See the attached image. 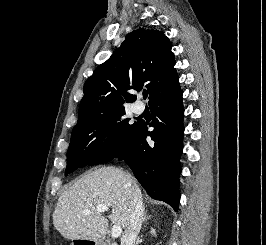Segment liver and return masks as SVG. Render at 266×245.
<instances>
[{
	"instance_id": "1",
	"label": "liver",
	"mask_w": 266,
	"mask_h": 245,
	"mask_svg": "<svg viewBox=\"0 0 266 245\" xmlns=\"http://www.w3.org/2000/svg\"><path fill=\"white\" fill-rule=\"evenodd\" d=\"M129 187L137 181L116 167L91 171L62 191L53 213V225L65 239L98 241L108 231V221L97 213L98 205L112 209L109 219L113 225L127 229L130 219ZM89 209V213H84Z\"/></svg>"
}]
</instances>
